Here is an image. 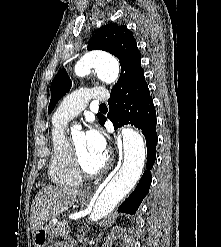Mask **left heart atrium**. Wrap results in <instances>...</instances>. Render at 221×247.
Masks as SVG:
<instances>
[{
	"label": "left heart atrium",
	"instance_id": "39dd6f15",
	"mask_svg": "<svg viewBox=\"0 0 221 247\" xmlns=\"http://www.w3.org/2000/svg\"><path fill=\"white\" fill-rule=\"evenodd\" d=\"M85 137L89 146L100 154H106V139L102 131L97 127H91Z\"/></svg>",
	"mask_w": 221,
	"mask_h": 247
}]
</instances>
